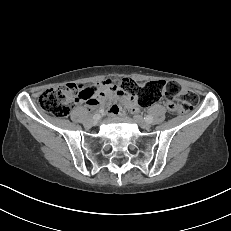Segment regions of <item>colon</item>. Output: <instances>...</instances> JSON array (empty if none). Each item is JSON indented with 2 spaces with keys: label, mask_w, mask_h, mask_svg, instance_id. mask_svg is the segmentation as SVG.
I'll list each match as a JSON object with an SVG mask.
<instances>
[{
  "label": "colon",
  "mask_w": 231,
  "mask_h": 231,
  "mask_svg": "<svg viewBox=\"0 0 231 231\" xmlns=\"http://www.w3.org/2000/svg\"><path fill=\"white\" fill-rule=\"evenodd\" d=\"M113 87L130 96L136 95L140 106H150L162 98L167 102L170 112L179 114L194 108L198 102V96L189 90L184 89L175 81L156 80L138 85L129 78L115 81ZM85 96L75 84H66L55 89L44 91L39 99V107L58 118L66 117L76 101Z\"/></svg>",
  "instance_id": "colon-1"
}]
</instances>
